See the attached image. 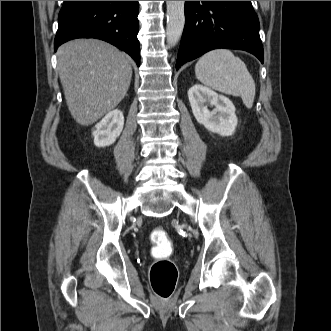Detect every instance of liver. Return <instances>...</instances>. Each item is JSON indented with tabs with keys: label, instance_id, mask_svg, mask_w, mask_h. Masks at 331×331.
I'll use <instances>...</instances> for the list:
<instances>
[{
	"label": "liver",
	"instance_id": "liver-1",
	"mask_svg": "<svg viewBox=\"0 0 331 331\" xmlns=\"http://www.w3.org/2000/svg\"><path fill=\"white\" fill-rule=\"evenodd\" d=\"M68 109L83 126L98 121L125 97L132 78L128 56L96 39H76L57 51Z\"/></svg>",
	"mask_w": 331,
	"mask_h": 331
}]
</instances>
